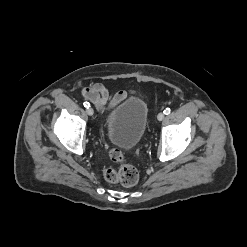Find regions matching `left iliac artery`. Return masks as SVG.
I'll list each match as a JSON object with an SVG mask.
<instances>
[{
	"instance_id": "44dca946",
	"label": "left iliac artery",
	"mask_w": 247,
	"mask_h": 247,
	"mask_svg": "<svg viewBox=\"0 0 247 247\" xmlns=\"http://www.w3.org/2000/svg\"><path fill=\"white\" fill-rule=\"evenodd\" d=\"M170 112H171L170 108H166V109L164 110V114H165V115L170 114Z\"/></svg>"
}]
</instances>
